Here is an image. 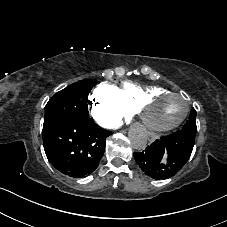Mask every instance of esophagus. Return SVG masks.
Instances as JSON below:
<instances>
[{"label": "esophagus", "instance_id": "esophagus-1", "mask_svg": "<svg viewBox=\"0 0 227 227\" xmlns=\"http://www.w3.org/2000/svg\"><path fill=\"white\" fill-rule=\"evenodd\" d=\"M147 141H146V144L148 145V146H151L153 143H155V141H156V138H155V136L153 135V134H148L147 135Z\"/></svg>", "mask_w": 227, "mask_h": 227}]
</instances>
